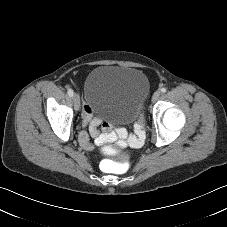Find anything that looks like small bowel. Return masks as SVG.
Instances as JSON below:
<instances>
[{"label":"small bowel","mask_w":227,"mask_h":227,"mask_svg":"<svg viewBox=\"0 0 227 227\" xmlns=\"http://www.w3.org/2000/svg\"><path fill=\"white\" fill-rule=\"evenodd\" d=\"M101 121L94 117L93 109L88 105L83 107V129L79 134V144L86 150L94 149L95 143H102L105 140L116 143L120 147L138 148L144 142V132L141 128L137 129L135 135H130L124 128L113 130L111 125H103L105 133L99 134ZM93 139L95 142H93Z\"/></svg>","instance_id":"small-bowel-1"}]
</instances>
